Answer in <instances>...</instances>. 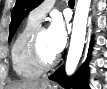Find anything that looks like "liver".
<instances>
[{
	"mask_svg": "<svg viewBox=\"0 0 107 89\" xmlns=\"http://www.w3.org/2000/svg\"><path fill=\"white\" fill-rule=\"evenodd\" d=\"M47 81H21L15 82L8 87V89H41L47 85Z\"/></svg>",
	"mask_w": 107,
	"mask_h": 89,
	"instance_id": "1",
	"label": "liver"
}]
</instances>
